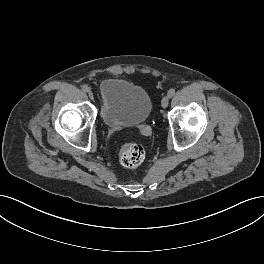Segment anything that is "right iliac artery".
Here are the masks:
<instances>
[{
    "instance_id": "right-iliac-artery-1",
    "label": "right iliac artery",
    "mask_w": 264,
    "mask_h": 264,
    "mask_svg": "<svg viewBox=\"0 0 264 264\" xmlns=\"http://www.w3.org/2000/svg\"><path fill=\"white\" fill-rule=\"evenodd\" d=\"M82 90H83L84 92H88V91H90V88H89L87 85H83V86H82Z\"/></svg>"
}]
</instances>
